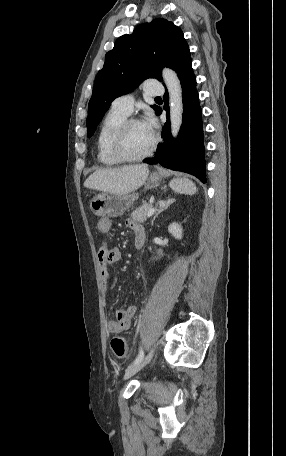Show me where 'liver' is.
Listing matches in <instances>:
<instances>
[{
  "instance_id": "1",
  "label": "liver",
  "mask_w": 286,
  "mask_h": 456,
  "mask_svg": "<svg viewBox=\"0 0 286 456\" xmlns=\"http://www.w3.org/2000/svg\"><path fill=\"white\" fill-rule=\"evenodd\" d=\"M148 175V166L144 164L101 168L85 180L84 186L105 193L128 194L140 188Z\"/></svg>"
}]
</instances>
